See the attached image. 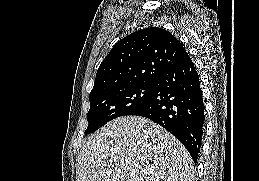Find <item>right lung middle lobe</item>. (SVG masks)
<instances>
[{
	"mask_svg": "<svg viewBox=\"0 0 259 181\" xmlns=\"http://www.w3.org/2000/svg\"><path fill=\"white\" fill-rule=\"evenodd\" d=\"M153 89V83L136 84L90 95L89 124L85 135L95 132L114 118L130 115L148 100Z\"/></svg>",
	"mask_w": 259,
	"mask_h": 181,
	"instance_id": "obj_1",
	"label": "right lung middle lobe"
}]
</instances>
